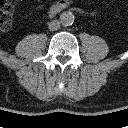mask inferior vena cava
<instances>
[{"mask_svg":"<svg viewBox=\"0 0 128 128\" xmlns=\"http://www.w3.org/2000/svg\"><path fill=\"white\" fill-rule=\"evenodd\" d=\"M48 28L51 31H56L60 28V22L58 20H53L48 24Z\"/></svg>","mask_w":128,"mask_h":128,"instance_id":"obj_1","label":"inferior vena cava"}]
</instances>
